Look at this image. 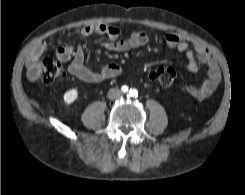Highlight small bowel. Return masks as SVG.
<instances>
[{"label":"small bowel","mask_w":245,"mask_h":195,"mask_svg":"<svg viewBox=\"0 0 245 195\" xmlns=\"http://www.w3.org/2000/svg\"><path fill=\"white\" fill-rule=\"evenodd\" d=\"M77 33L86 37L103 35L106 37V40L102 43L103 47L117 52L142 47L148 43V35L143 31H136L129 37L121 38L120 29L107 24L86 25L80 27ZM164 41L168 47L175 48L185 55L189 71L197 72L201 65L207 67V77L198 87H187L185 89L186 93L195 99H204L210 96L221 80L220 67L211 51L205 45L178 33L165 34ZM46 46V42L41 41L34 46L28 55L26 62L27 76L32 81L37 80L40 76L39 60ZM57 56L61 61H69V73L85 82L98 83L114 78L121 73V66L116 63L107 64L98 70L87 68L84 64V51L81 46H61L57 49Z\"/></svg>","instance_id":"c3829d8e"}]
</instances>
